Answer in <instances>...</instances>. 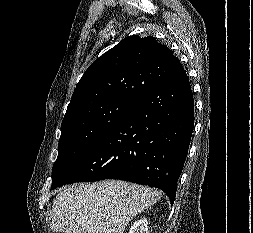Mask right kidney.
Masks as SVG:
<instances>
[{"label": "right kidney", "mask_w": 253, "mask_h": 233, "mask_svg": "<svg viewBox=\"0 0 253 233\" xmlns=\"http://www.w3.org/2000/svg\"><path fill=\"white\" fill-rule=\"evenodd\" d=\"M129 233H148V220L143 218L135 221L131 226Z\"/></svg>", "instance_id": "ca27d5eb"}]
</instances>
